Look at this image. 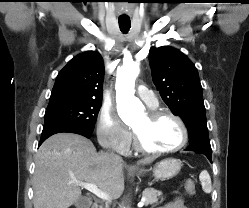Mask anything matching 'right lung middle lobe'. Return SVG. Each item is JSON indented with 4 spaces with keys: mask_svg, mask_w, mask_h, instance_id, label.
<instances>
[{
    "mask_svg": "<svg viewBox=\"0 0 249 208\" xmlns=\"http://www.w3.org/2000/svg\"><path fill=\"white\" fill-rule=\"evenodd\" d=\"M102 101H76L50 106L44 125L57 124L77 128L92 134Z\"/></svg>",
    "mask_w": 249,
    "mask_h": 208,
    "instance_id": "dd1d6c3e",
    "label": "right lung middle lobe"
}]
</instances>
